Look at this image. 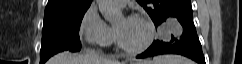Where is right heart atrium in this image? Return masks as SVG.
I'll return each mask as SVG.
<instances>
[{"label":"right heart atrium","instance_id":"right-heart-atrium-1","mask_svg":"<svg viewBox=\"0 0 242 64\" xmlns=\"http://www.w3.org/2000/svg\"><path fill=\"white\" fill-rule=\"evenodd\" d=\"M78 34L88 45L107 46L115 39V31L100 17L94 6H90L83 14Z\"/></svg>","mask_w":242,"mask_h":64}]
</instances>
